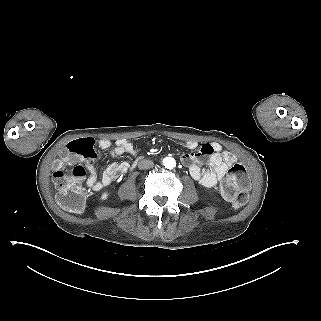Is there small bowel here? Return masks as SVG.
<instances>
[{"label": "small bowel", "instance_id": "c3829d8e", "mask_svg": "<svg viewBox=\"0 0 321 321\" xmlns=\"http://www.w3.org/2000/svg\"><path fill=\"white\" fill-rule=\"evenodd\" d=\"M98 145L101 149H110L112 142L109 139H100ZM183 146L195 150L198 143L194 140H186ZM137 149L126 139H118L111 148L113 157L128 154L135 156ZM207 159V166L202 167L199 163ZM181 161L188 166L191 177L205 187H215L224 176L226 170L236 161V157L227 151H223L220 144L216 142L205 143L197 151L184 153ZM85 167L89 173L87 185L95 191L101 190L114 180L125 174L129 169L127 162L110 163L102 171L100 176L91 160L85 161Z\"/></svg>", "mask_w": 321, "mask_h": 321}]
</instances>
